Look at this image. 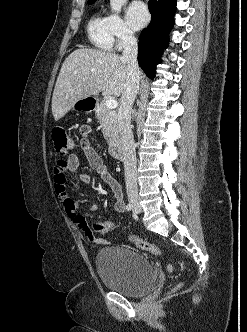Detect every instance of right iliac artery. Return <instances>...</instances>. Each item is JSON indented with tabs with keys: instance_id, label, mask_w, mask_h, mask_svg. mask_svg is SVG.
<instances>
[{
	"instance_id": "obj_1",
	"label": "right iliac artery",
	"mask_w": 247,
	"mask_h": 332,
	"mask_svg": "<svg viewBox=\"0 0 247 332\" xmlns=\"http://www.w3.org/2000/svg\"><path fill=\"white\" fill-rule=\"evenodd\" d=\"M126 209H127V211H131L132 210V205L131 204H127L126 205Z\"/></svg>"
}]
</instances>
